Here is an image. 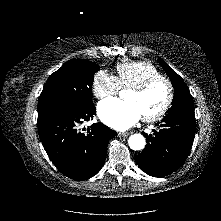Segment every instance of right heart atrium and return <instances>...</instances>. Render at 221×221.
Returning a JSON list of instances; mask_svg holds the SVG:
<instances>
[{"label":"right heart atrium","instance_id":"d8ad5b80","mask_svg":"<svg viewBox=\"0 0 221 221\" xmlns=\"http://www.w3.org/2000/svg\"><path fill=\"white\" fill-rule=\"evenodd\" d=\"M121 89L117 77L108 71H98L92 81V90L98 99H104L116 95Z\"/></svg>","mask_w":221,"mask_h":221}]
</instances>
